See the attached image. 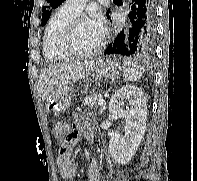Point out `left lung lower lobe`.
<instances>
[{
    "label": "left lung lower lobe",
    "mask_w": 197,
    "mask_h": 181,
    "mask_svg": "<svg viewBox=\"0 0 197 181\" xmlns=\"http://www.w3.org/2000/svg\"><path fill=\"white\" fill-rule=\"evenodd\" d=\"M130 24L121 30L104 54L151 56L156 35L155 0H132Z\"/></svg>",
    "instance_id": "obj_1"
}]
</instances>
